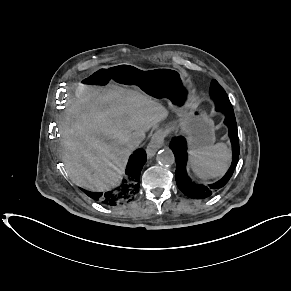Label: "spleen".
Listing matches in <instances>:
<instances>
[{"label":"spleen","mask_w":291,"mask_h":291,"mask_svg":"<svg viewBox=\"0 0 291 291\" xmlns=\"http://www.w3.org/2000/svg\"><path fill=\"white\" fill-rule=\"evenodd\" d=\"M190 166L201 178L222 176L228 168L230 153L225 143L190 150Z\"/></svg>","instance_id":"spleen-1"}]
</instances>
